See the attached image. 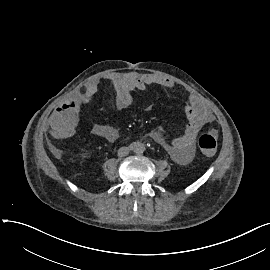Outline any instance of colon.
Instances as JSON below:
<instances>
[{"label": "colon", "instance_id": "colon-1", "mask_svg": "<svg viewBox=\"0 0 270 270\" xmlns=\"http://www.w3.org/2000/svg\"><path fill=\"white\" fill-rule=\"evenodd\" d=\"M218 147V139L214 132H207L198 138L199 151L206 156L213 155Z\"/></svg>", "mask_w": 270, "mask_h": 270}]
</instances>
